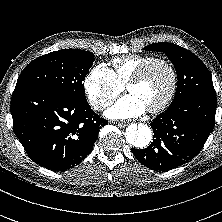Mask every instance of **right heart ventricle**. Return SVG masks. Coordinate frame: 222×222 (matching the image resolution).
Segmentation results:
<instances>
[{"mask_svg":"<svg viewBox=\"0 0 222 222\" xmlns=\"http://www.w3.org/2000/svg\"><path fill=\"white\" fill-rule=\"evenodd\" d=\"M154 59L151 55H129L112 60L113 73L116 79L123 85L146 62Z\"/></svg>","mask_w":222,"mask_h":222,"instance_id":"obj_1","label":"right heart ventricle"}]
</instances>
